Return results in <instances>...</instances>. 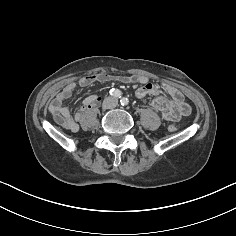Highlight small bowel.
<instances>
[{
	"label": "small bowel",
	"mask_w": 236,
	"mask_h": 236,
	"mask_svg": "<svg viewBox=\"0 0 236 236\" xmlns=\"http://www.w3.org/2000/svg\"><path fill=\"white\" fill-rule=\"evenodd\" d=\"M118 80L123 83H138L140 86L135 90L134 96L137 100H144L147 96L152 95L151 105L158 110L163 118L168 121H177L182 116H187L191 112V106L184 100L181 92L168 84L162 86L168 97L160 95V90L148 81L143 75L131 76H113L106 73L97 75H89L82 77L78 82L68 83L62 91H60L49 106V113L55 124L63 129L75 131L78 128V122L82 117L84 110L97 105L101 97L98 95H90L84 101L80 110L72 116L70 110L63 105L64 101L69 99L78 87H86L96 81L107 82Z\"/></svg>",
	"instance_id": "small-bowel-1"
}]
</instances>
